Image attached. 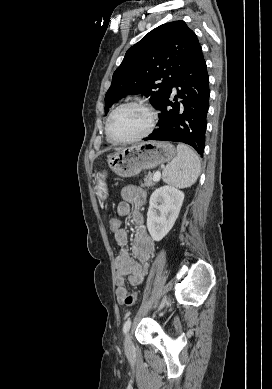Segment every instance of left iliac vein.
Listing matches in <instances>:
<instances>
[{
    "label": "left iliac vein",
    "instance_id": "obj_1",
    "mask_svg": "<svg viewBox=\"0 0 272 389\" xmlns=\"http://www.w3.org/2000/svg\"><path fill=\"white\" fill-rule=\"evenodd\" d=\"M165 303H166V297L163 299L161 307L164 306ZM124 347H125L126 353H131L133 351V343H132L131 336L129 333L126 334V336H125Z\"/></svg>",
    "mask_w": 272,
    "mask_h": 389
}]
</instances>
